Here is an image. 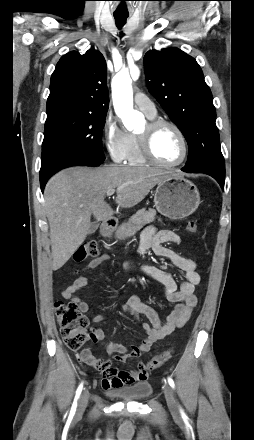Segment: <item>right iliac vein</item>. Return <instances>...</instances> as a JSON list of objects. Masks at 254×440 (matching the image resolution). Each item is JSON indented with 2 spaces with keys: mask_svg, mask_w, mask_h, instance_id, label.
I'll list each match as a JSON object with an SVG mask.
<instances>
[{
  "mask_svg": "<svg viewBox=\"0 0 254 440\" xmlns=\"http://www.w3.org/2000/svg\"><path fill=\"white\" fill-rule=\"evenodd\" d=\"M89 394L87 391H84L80 396L77 406V415H81L88 405Z\"/></svg>",
  "mask_w": 254,
  "mask_h": 440,
  "instance_id": "obj_1",
  "label": "right iliac vein"
}]
</instances>
